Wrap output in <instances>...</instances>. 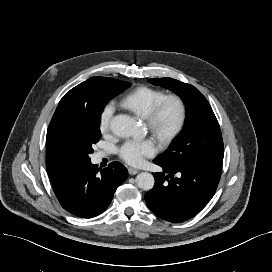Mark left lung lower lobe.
Instances as JSON below:
<instances>
[{
    "label": "left lung lower lobe",
    "instance_id": "left-lung-lower-lobe-1",
    "mask_svg": "<svg viewBox=\"0 0 272 272\" xmlns=\"http://www.w3.org/2000/svg\"><path fill=\"white\" fill-rule=\"evenodd\" d=\"M155 185L145 194L150 210L163 220L180 223L196 216L217 189L223 162H187L167 165L155 161ZM167 174V175H166Z\"/></svg>",
    "mask_w": 272,
    "mask_h": 272
}]
</instances>
